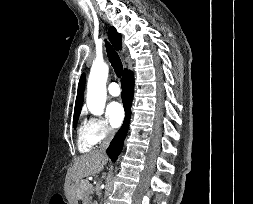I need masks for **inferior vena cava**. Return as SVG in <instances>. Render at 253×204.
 I'll return each mask as SVG.
<instances>
[{"label": "inferior vena cava", "instance_id": "obj_1", "mask_svg": "<svg viewBox=\"0 0 253 204\" xmlns=\"http://www.w3.org/2000/svg\"><path fill=\"white\" fill-rule=\"evenodd\" d=\"M113 137H114V131L111 128H108L106 131L105 139L102 141V143L100 145V152L101 153H105V151L108 148Z\"/></svg>", "mask_w": 253, "mask_h": 204}]
</instances>
